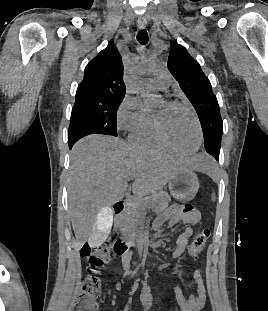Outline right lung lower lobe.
<instances>
[{"instance_id": "1", "label": "right lung lower lobe", "mask_w": 268, "mask_h": 311, "mask_svg": "<svg viewBox=\"0 0 268 311\" xmlns=\"http://www.w3.org/2000/svg\"><path fill=\"white\" fill-rule=\"evenodd\" d=\"M90 134H94V133L89 129H81L73 133L72 135H68L69 148L71 149L74 143L78 141L80 138L90 135Z\"/></svg>"}]
</instances>
